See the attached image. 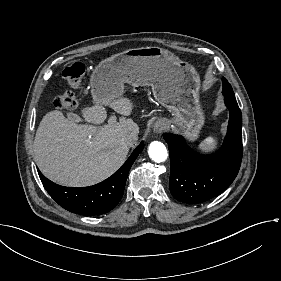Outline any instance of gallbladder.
<instances>
[{
  "label": "gallbladder",
  "instance_id": "obj_1",
  "mask_svg": "<svg viewBox=\"0 0 281 281\" xmlns=\"http://www.w3.org/2000/svg\"><path fill=\"white\" fill-rule=\"evenodd\" d=\"M68 116L70 117V119H71L72 121H78L77 119L80 118L79 115L74 114V113H69Z\"/></svg>",
  "mask_w": 281,
  "mask_h": 281
}]
</instances>
